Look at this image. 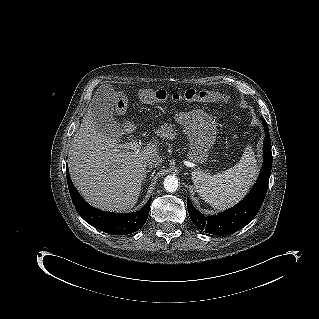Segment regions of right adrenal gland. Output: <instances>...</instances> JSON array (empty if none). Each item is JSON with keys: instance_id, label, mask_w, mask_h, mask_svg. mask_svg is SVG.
<instances>
[{"instance_id": "1", "label": "right adrenal gland", "mask_w": 319, "mask_h": 319, "mask_svg": "<svg viewBox=\"0 0 319 319\" xmlns=\"http://www.w3.org/2000/svg\"><path fill=\"white\" fill-rule=\"evenodd\" d=\"M148 172H150V170L146 171V175L148 174ZM146 175H145L143 183L146 181Z\"/></svg>"}]
</instances>
